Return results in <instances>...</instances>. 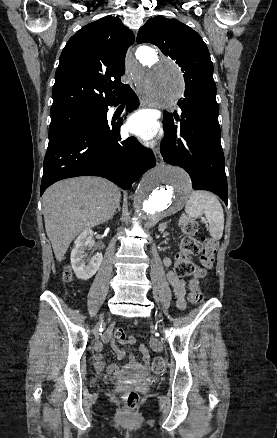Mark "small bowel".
Returning <instances> with one entry per match:
<instances>
[{
	"mask_svg": "<svg viewBox=\"0 0 277 438\" xmlns=\"http://www.w3.org/2000/svg\"><path fill=\"white\" fill-rule=\"evenodd\" d=\"M171 264V259L170 258H165L164 259V265L165 266H170ZM167 278L169 283L171 284L175 297H176V301H177V306L179 308H184L185 307V283L184 281L178 277L173 271H169L167 273ZM104 331V335L102 337V342L103 343H112L114 341V331L112 326L110 325H106L103 328ZM95 350L97 351L96 354V359L98 360V363L96 365V368L101 369L103 367V364L101 363V359H102V355H101V350H102V345L100 343L95 344ZM117 355L120 359H123L125 357V355L123 354V352L119 349H116ZM141 352L143 354V358L145 363H147L150 360V355L147 351V348L145 346H141ZM141 364L139 362H137L133 357H130L129 359V369H133L135 371H139L141 373H145L147 371V366L146 364ZM108 372L113 376L114 379H118L120 378L121 374L119 372L118 367L115 365V362H112V365L108 367Z\"/></svg>",
	"mask_w": 277,
	"mask_h": 438,
	"instance_id": "obj_1",
	"label": "small bowel"
}]
</instances>
